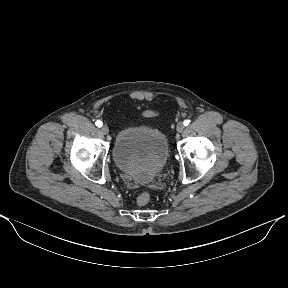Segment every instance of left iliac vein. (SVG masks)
Wrapping results in <instances>:
<instances>
[{
	"mask_svg": "<svg viewBox=\"0 0 288 288\" xmlns=\"http://www.w3.org/2000/svg\"><path fill=\"white\" fill-rule=\"evenodd\" d=\"M184 129H185V127L182 123L177 124V127H176L177 132L182 133L184 131Z\"/></svg>",
	"mask_w": 288,
	"mask_h": 288,
	"instance_id": "obj_1",
	"label": "left iliac vein"
}]
</instances>
